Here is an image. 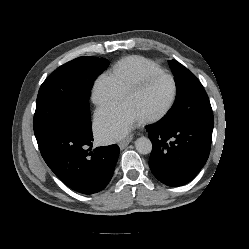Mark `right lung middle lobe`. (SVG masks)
I'll return each mask as SVG.
<instances>
[{
  "label": "right lung middle lobe",
  "instance_id": "dd1d6c3e",
  "mask_svg": "<svg viewBox=\"0 0 249 249\" xmlns=\"http://www.w3.org/2000/svg\"><path fill=\"white\" fill-rule=\"evenodd\" d=\"M109 65L98 57H79L57 68L42 83L36 101L34 133L52 126L91 121L89 98L96 77Z\"/></svg>",
  "mask_w": 249,
  "mask_h": 249
}]
</instances>
